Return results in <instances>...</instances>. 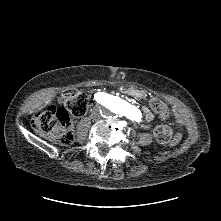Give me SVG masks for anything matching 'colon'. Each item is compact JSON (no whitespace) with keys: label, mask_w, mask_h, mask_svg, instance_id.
Here are the masks:
<instances>
[{"label":"colon","mask_w":221,"mask_h":221,"mask_svg":"<svg viewBox=\"0 0 221 221\" xmlns=\"http://www.w3.org/2000/svg\"><path fill=\"white\" fill-rule=\"evenodd\" d=\"M87 101L86 91L76 87L66 88L59 96V107L46 103L33 109V125L40 133L52 136L59 144L70 145L74 139L70 116L82 115L85 112ZM150 107L163 122L157 127L155 136L159 142L166 143L171 139V131L165 124L170 119V112L165 102L157 96L151 97ZM182 134L183 129L177 127L176 139L181 138Z\"/></svg>","instance_id":"1"}]
</instances>
